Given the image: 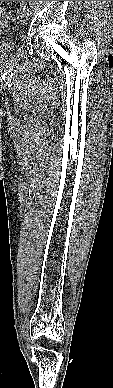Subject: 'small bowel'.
<instances>
[{"label": "small bowel", "mask_w": 113, "mask_h": 388, "mask_svg": "<svg viewBox=\"0 0 113 388\" xmlns=\"http://www.w3.org/2000/svg\"><path fill=\"white\" fill-rule=\"evenodd\" d=\"M5 14H4V11H3V9L1 8V3H0V21H1V19L3 18L2 16H4Z\"/></svg>", "instance_id": "c3829d8e"}]
</instances>
